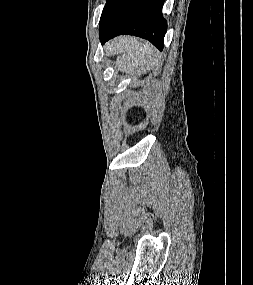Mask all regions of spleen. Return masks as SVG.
<instances>
[{"label":"spleen","mask_w":253,"mask_h":285,"mask_svg":"<svg viewBox=\"0 0 253 285\" xmlns=\"http://www.w3.org/2000/svg\"><path fill=\"white\" fill-rule=\"evenodd\" d=\"M113 48L121 52L115 68L128 75H141L151 70L162 60V56L148 42L133 37H120Z\"/></svg>","instance_id":"1"}]
</instances>
